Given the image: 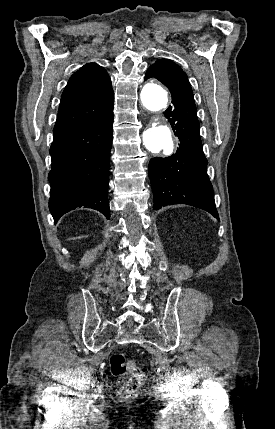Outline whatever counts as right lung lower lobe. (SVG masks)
I'll return each mask as SVG.
<instances>
[{"mask_svg": "<svg viewBox=\"0 0 275 429\" xmlns=\"http://www.w3.org/2000/svg\"><path fill=\"white\" fill-rule=\"evenodd\" d=\"M113 113L72 129L55 132L49 209L55 221L67 210L86 206L109 218L107 198Z\"/></svg>", "mask_w": 275, "mask_h": 429, "instance_id": "98d812e1", "label": "right lung lower lobe"}]
</instances>
